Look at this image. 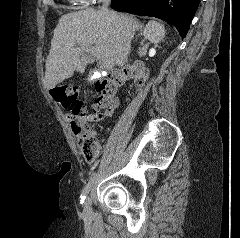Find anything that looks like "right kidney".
<instances>
[{
    "label": "right kidney",
    "instance_id": "obj_1",
    "mask_svg": "<svg viewBox=\"0 0 240 238\" xmlns=\"http://www.w3.org/2000/svg\"><path fill=\"white\" fill-rule=\"evenodd\" d=\"M143 36L151 43L158 44L165 37L164 25L154 20L149 21L144 28Z\"/></svg>",
    "mask_w": 240,
    "mask_h": 238
}]
</instances>
